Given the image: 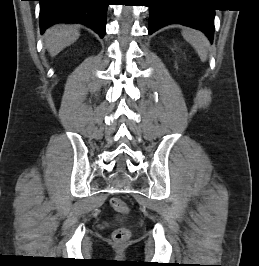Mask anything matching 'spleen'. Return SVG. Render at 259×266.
<instances>
[{
	"label": "spleen",
	"mask_w": 259,
	"mask_h": 266,
	"mask_svg": "<svg viewBox=\"0 0 259 266\" xmlns=\"http://www.w3.org/2000/svg\"><path fill=\"white\" fill-rule=\"evenodd\" d=\"M184 39L189 42L198 53L200 59L204 62L208 55V40L203 33L192 29L182 31Z\"/></svg>",
	"instance_id": "1"
}]
</instances>
